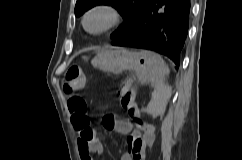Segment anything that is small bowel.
<instances>
[{
    "instance_id": "c3829d8e",
    "label": "small bowel",
    "mask_w": 242,
    "mask_h": 160,
    "mask_svg": "<svg viewBox=\"0 0 242 160\" xmlns=\"http://www.w3.org/2000/svg\"><path fill=\"white\" fill-rule=\"evenodd\" d=\"M69 113L73 127L79 133L78 149L81 160H94L93 154L103 152L102 143L94 132L91 138H84L82 133L91 128L83 129L78 127L75 117L70 110ZM102 125L107 131L128 135L127 144L129 151L121 157V160H144L146 148L153 138V128L151 125L135 120L119 119L113 115L103 117Z\"/></svg>"
}]
</instances>
